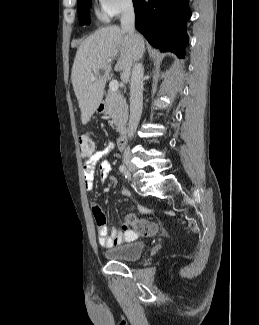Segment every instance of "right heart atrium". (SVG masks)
I'll list each match as a JSON object with an SVG mask.
<instances>
[{
    "mask_svg": "<svg viewBox=\"0 0 259 325\" xmlns=\"http://www.w3.org/2000/svg\"><path fill=\"white\" fill-rule=\"evenodd\" d=\"M99 14L104 19L115 18L132 6V0H96Z\"/></svg>",
    "mask_w": 259,
    "mask_h": 325,
    "instance_id": "1",
    "label": "right heart atrium"
}]
</instances>
